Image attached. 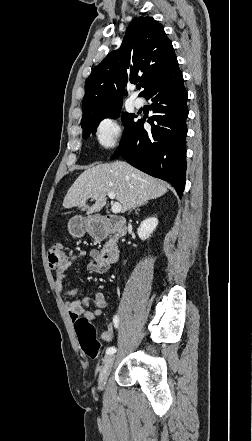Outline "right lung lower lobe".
<instances>
[{
  "label": "right lung lower lobe",
  "mask_w": 252,
  "mask_h": 441,
  "mask_svg": "<svg viewBox=\"0 0 252 441\" xmlns=\"http://www.w3.org/2000/svg\"><path fill=\"white\" fill-rule=\"evenodd\" d=\"M150 99L154 115L151 130L138 120L112 155L141 171L170 182L181 197L186 179L187 91L177 60L143 96Z\"/></svg>",
  "instance_id": "1"
}]
</instances>
